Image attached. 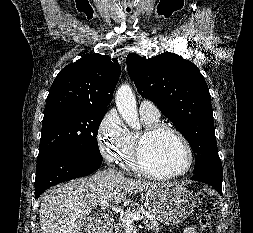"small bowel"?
Wrapping results in <instances>:
<instances>
[{"label":"small bowel","instance_id":"c3829d8e","mask_svg":"<svg viewBox=\"0 0 253 233\" xmlns=\"http://www.w3.org/2000/svg\"><path fill=\"white\" fill-rule=\"evenodd\" d=\"M184 233H197V231L193 227H188L185 229Z\"/></svg>","mask_w":253,"mask_h":233}]
</instances>
